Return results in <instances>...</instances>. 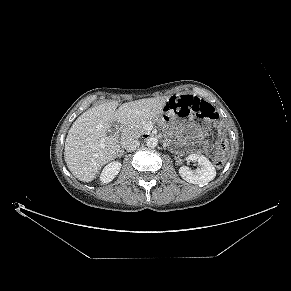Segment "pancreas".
<instances>
[{
    "mask_svg": "<svg viewBox=\"0 0 291 291\" xmlns=\"http://www.w3.org/2000/svg\"><path fill=\"white\" fill-rule=\"evenodd\" d=\"M147 123H149V121H144V122L135 123V124L126 126L123 129V138L127 140L129 138L140 137L142 134L146 132L144 127Z\"/></svg>",
    "mask_w": 291,
    "mask_h": 291,
    "instance_id": "cf45deb5",
    "label": "pancreas"
}]
</instances>
